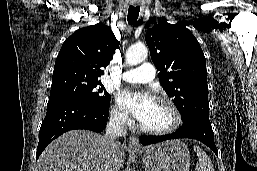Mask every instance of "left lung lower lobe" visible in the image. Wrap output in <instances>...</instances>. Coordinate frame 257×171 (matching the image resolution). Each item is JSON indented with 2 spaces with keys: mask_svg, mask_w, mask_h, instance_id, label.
<instances>
[{
  "mask_svg": "<svg viewBox=\"0 0 257 171\" xmlns=\"http://www.w3.org/2000/svg\"><path fill=\"white\" fill-rule=\"evenodd\" d=\"M177 138H191L199 140L218 155V150L214 143V134L211 123L210 121L202 119H193L183 123L182 127L172 134L163 136H141L140 142L143 145H149Z\"/></svg>",
  "mask_w": 257,
  "mask_h": 171,
  "instance_id": "1",
  "label": "left lung lower lobe"
}]
</instances>
